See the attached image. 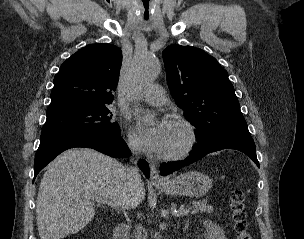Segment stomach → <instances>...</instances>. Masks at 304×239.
<instances>
[{
  "instance_id": "obj_1",
  "label": "stomach",
  "mask_w": 304,
  "mask_h": 239,
  "mask_svg": "<svg viewBox=\"0 0 304 239\" xmlns=\"http://www.w3.org/2000/svg\"><path fill=\"white\" fill-rule=\"evenodd\" d=\"M210 178L198 171H189L157 187L166 194L201 197L211 188Z\"/></svg>"
}]
</instances>
